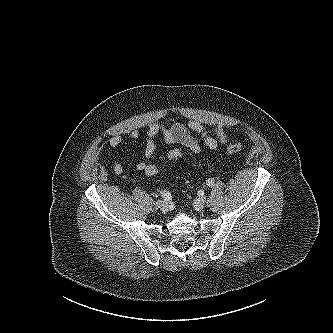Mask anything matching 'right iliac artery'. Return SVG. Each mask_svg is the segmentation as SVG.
Instances as JSON below:
<instances>
[{
  "label": "right iliac artery",
  "mask_w": 333,
  "mask_h": 333,
  "mask_svg": "<svg viewBox=\"0 0 333 333\" xmlns=\"http://www.w3.org/2000/svg\"><path fill=\"white\" fill-rule=\"evenodd\" d=\"M162 197L164 198V200L170 201L171 200V194L168 191H163L162 193Z\"/></svg>",
  "instance_id": "1"
}]
</instances>
